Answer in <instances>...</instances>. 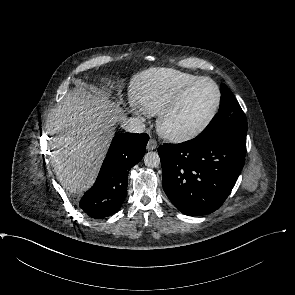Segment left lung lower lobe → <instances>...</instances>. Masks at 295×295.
Returning <instances> with one entry per match:
<instances>
[{"mask_svg":"<svg viewBox=\"0 0 295 295\" xmlns=\"http://www.w3.org/2000/svg\"><path fill=\"white\" fill-rule=\"evenodd\" d=\"M163 189L182 213L195 216L218 209L243 168L246 142L226 135L194 138L158 148Z\"/></svg>","mask_w":295,"mask_h":295,"instance_id":"1","label":"left lung lower lobe"}]
</instances>
